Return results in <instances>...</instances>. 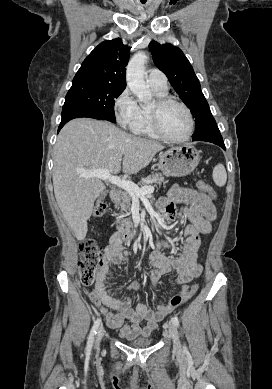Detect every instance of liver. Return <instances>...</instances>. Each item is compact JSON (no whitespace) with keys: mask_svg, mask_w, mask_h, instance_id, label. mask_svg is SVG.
Returning a JSON list of instances; mask_svg holds the SVG:
<instances>
[{"mask_svg":"<svg viewBox=\"0 0 272 389\" xmlns=\"http://www.w3.org/2000/svg\"><path fill=\"white\" fill-rule=\"evenodd\" d=\"M163 149L160 143L130 135L106 121L78 118L62 128L54 147V194L78 240L85 239L94 202L105 190L99 178H86L80 172L122 169L136 174Z\"/></svg>","mask_w":272,"mask_h":389,"instance_id":"6515ba94","label":"liver"}]
</instances>
